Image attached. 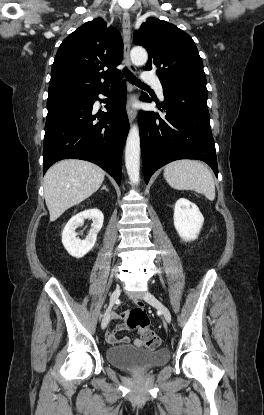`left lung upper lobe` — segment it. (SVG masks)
I'll return each mask as SVG.
<instances>
[{
	"label": "left lung upper lobe",
	"mask_w": 264,
	"mask_h": 415,
	"mask_svg": "<svg viewBox=\"0 0 264 415\" xmlns=\"http://www.w3.org/2000/svg\"><path fill=\"white\" fill-rule=\"evenodd\" d=\"M136 45L149 54L145 70H156L163 91L207 93L203 63L193 39L177 26L149 18L134 34Z\"/></svg>",
	"instance_id": "1"
}]
</instances>
